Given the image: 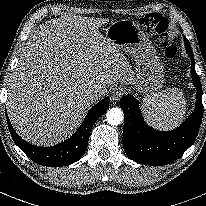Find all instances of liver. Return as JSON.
I'll list each match as a JSON object with an SVG mask.
<instances>
[{
	"label": "liver",
	"instance_id": "obj_1",
	"mask_svg": "<svg viewBox=\"0 0 206 206\" xmlns=\"http://www.w3.org/2000/svg\"><path fill=\"white\" fill-rule=\"evenodd\" d=\"M105 22L66 15L41 24L28 39L6 101L14 129L27 142L65 140L96 103L91 93L105 96L113 83H132L127 58L99 32Z\"/></svg>",
	"mask_w": 206,
	"mask_h": 206
}]
</instances>
